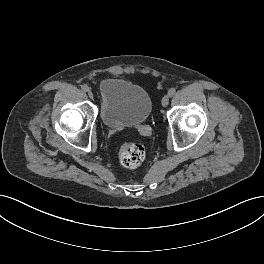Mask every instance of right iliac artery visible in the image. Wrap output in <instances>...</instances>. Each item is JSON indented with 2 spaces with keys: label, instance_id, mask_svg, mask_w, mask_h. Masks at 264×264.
I'll list each match as a JSON object with an SVG mask.
<instances>
[{
  "label": "right iliac artery",
  "instance_id": "right-iliac-artery-1",
  "mask_svg": "<svg viewBox=\"0 0 264 264\" xmlns=\"http://www.w3.org/2000/svg\"><path fill=\"white\" fill-rule=\"evenodd\" d=\"M81 88L84 92L89 91V87L87 85H82Z\"/></svg>",
  "mask_w": 264,
  "mask_h": 264
}]
</instances>
